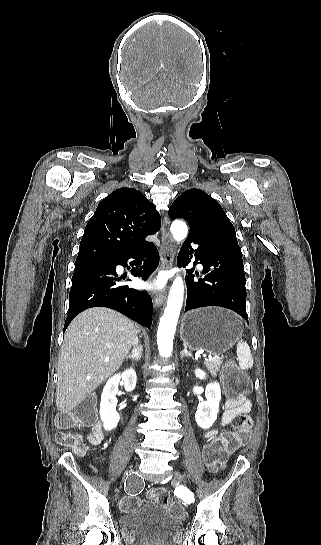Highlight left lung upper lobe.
Returning a JSON list of instances; mask_svg holds the SVG:
<instances>
[{"mask_svg":"<svg viewBox=\"0 0 321 545\" xmlns=\"http://www.w3.org/2000/svg\"><path fill=\"white\" fill-rule=\"evenodd\" d=\"M171 219L183 218L190 230L218 224L231 225L220 204L199 189H189L182 193L169 209Z\"/></svg>","mask_w":321,"mask_h":545,"instance_id":"1","label":"left lung upper lobe"}]
</instances>
